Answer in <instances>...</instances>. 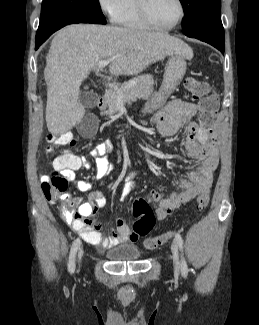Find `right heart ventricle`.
I'll return each mask as SVG.
<instances>
[{
    "instance_id": "1",
    "label": "right heart ventricle",
    "mask_w": 259,
    "mask_h": 325,
    "mask_svg": "<svg viewBox=\"0 0 259 325\" xmlns=\"http://www.w3.org/2000/svg\"><path fill=\"white\" fill-rule=\"evenodd\" d=\"M115 21L119 25L131 29L147 28V26L140 17L137 0H126L123 10Z\"/></svg>"
}]
</instances>
